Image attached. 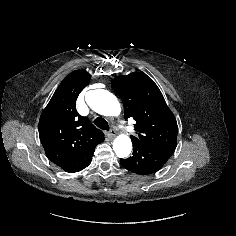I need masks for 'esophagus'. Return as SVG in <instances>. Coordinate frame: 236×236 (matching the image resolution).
<instances>
[{
  "label": "esophagus",
  "instance_id": "1",
  "mask_svg": "<svg viewBox=\"0 0 236 236\" xmlns=\"http://www.w3.org/2000/svg\"><path fill=\"white\" fill-rule=\"evenodd\" d=\"M116 135V131L114 129H111L109 132H108V137L109 138H114Z\"/></svg>",
  "mask_w": 236,
  "mask_h": 236
}]
</instances>
